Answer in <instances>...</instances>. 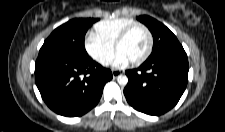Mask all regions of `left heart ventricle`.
Wrapping results in <instances>:
<instances>
[{
	"label": "left heart ventricle",
	"mask_w": 225,
	"mask_h": 132,
	"mask_svg": "<svg viewBox=\"0 0 225 132\" xmlns=\"http://www.w3.org/2000/svg\"><path fill=\"white\" fill-rule=\"evenodd\" d=\"M148 47V37L144 30L135 29L121 44L118 52L133 61L141 57Z\"/></svg>",
	"instance_id": "left-heart-ventricle-1"
}]
</instances>
